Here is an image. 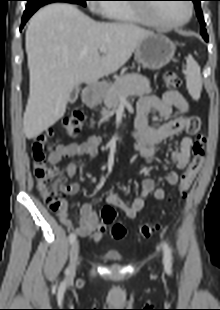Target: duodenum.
<instances>
[{"label": "duodenum", "instance_id": "obj_1", "mask_svg": "<svg viewBox=\"0 0 220 310\" xmlns=\"http://www.w3.org/2000/svg\"><path fill=\"white\" fill-rule=\"evenodd\" d=\"M102 88H103V83L96 82L94 84L93 90L85 94V97H84L85 101L88 104H94L96 102V96L102 90Z\"/></svg>", "mask_w": 220, "mask_h": 310}]
</instances>
